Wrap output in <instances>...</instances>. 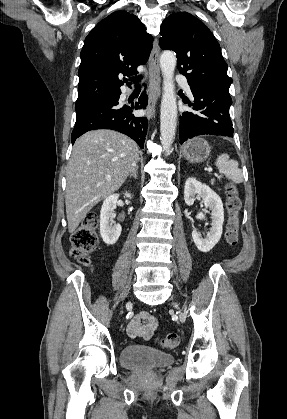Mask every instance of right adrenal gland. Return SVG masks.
I'll return each instance as SVG.
<instances>
[{"label": "right adrenal gland", "mask_w": 287, "mask_h": 419, "mask_svg": "<svg viewBox=\"0 0 287 419\" xmlns=\"http://www.w3.org/2000/svg\"><path fill=\"white\" fill-rule=\"evenodd\" d=\"M137 173H138V166L135 165L132 172L129 174V178L134 177L135 179H137Z\"/></svg>", "instance_id": "obj_1"}]
</instances>
